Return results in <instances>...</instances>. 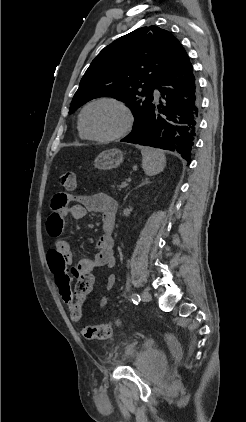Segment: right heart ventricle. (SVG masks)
I'll return each mask as SVG.
<instances>
[{"label":"right heart ventricle","mask_w":246,"mask_h":422,"mask_svg":"<svg viewBox=\"0 0 246 422\" xmlns=\"http://www.w3.org/2000/svg\"><path fill=\"white\" fill-rule=\"evenodd\" d=\"M78 133H79V136H80L82 139H87V137L84 135V133L82 132V130H81V128H80L79 122H78Z\"/></svg>","instance_id":"right-heart-ventricle-1"}]
</instances>
